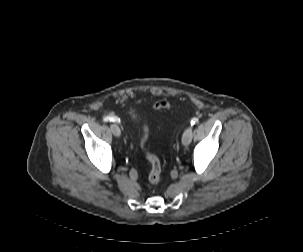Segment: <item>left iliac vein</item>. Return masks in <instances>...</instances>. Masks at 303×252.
<instances>
[{"instance_id": "obj_1", "label": "left iliac vein", "mask_w": 303, "mask_h": 252, "mask_svg": "<svg viewBox=\"0 0 303 252\" xmlns=\"http://www.w3.org/2000/svg\"><path fill=\"white\" fill-rule=\"evenodd\" d=\"M192 127H188L184 133H183V136H182V144L184 146H187L191 143V140H192Z\"/></svg>"}]
</instances>
